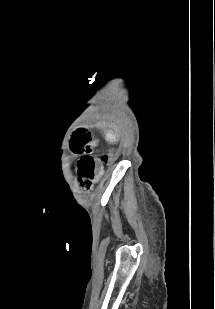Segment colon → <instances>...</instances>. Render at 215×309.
<instances>
[{
	"mask_svg": "<svg viewBox=\"0 0 215 309\" xmlns=\"http://www.w3.org/2000/svg\"><path fill=\"white\" fill-rule=\"evenodd\" d=\"M103 162H104V163H108V162H109V156H108V155H105V156L103 157Z\"/></svg>",
	"mask_w": 215,
	"mask_h": 309,
	"instance_id": "5ec220e1",
	"label": "colon"
}]
</instances>
